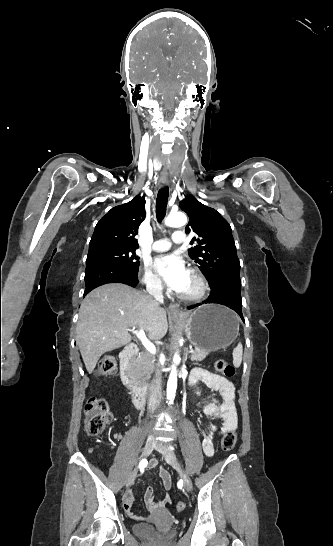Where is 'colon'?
Here are the masks:
<instances>
[{
	"label": "colon",
	"instance_id": "5ec220e1",
	"mask_svg": "<svg viewBox=\"0 0 333 546\" xmlns=\"http://www.w3.org/2000/svg\"><path fill=\"white\" fill-rule=\"evenodd\" d=\"M215 370L224 376L232 377L235 374V368L223 359H218L214 363ZM117 372V361L112 355L102 357L97 365L96 373L101 376L114 375ZM110 412L107 403L103 399L92 398L85 406V430L90 435L102 432L110 420ZM237 442V434L234 430L227 431L222 440L221 447L224 451L232 450ZM177 511L185 509V503L178 501L175 505Z\"/></svg>",
	"mask_w": 333,
	"mask_h": 546
}]
</instances>
